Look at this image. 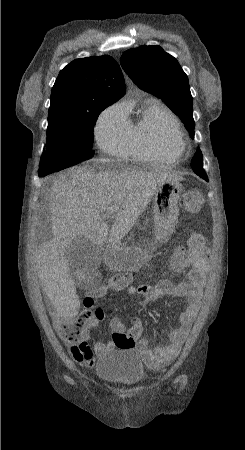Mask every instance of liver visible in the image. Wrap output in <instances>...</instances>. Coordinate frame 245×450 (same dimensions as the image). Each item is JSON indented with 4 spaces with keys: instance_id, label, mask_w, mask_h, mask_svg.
<instances>
[{
    "instance_id": "6515ba94",
    "label": "liver",
    "mask_w": 245,
    "mask_h": 450,
    "mask_svg": "<svg viewBox=\"0 0 245 450\" xmlns=\"http://www.w3.org/2000/svg\"><path fill=\"white\" fill-rule=\"evenodd\" d=\"M183 178L164 171L136 169L96 172L86 167L53 181L49 206L52 239L36 250V269L42 287L58 314L66 319L77 315L79 298L70 274L66 249L77 238L101 245L108 238L115 244L131 230L166 180ZM113 224L109 230L107 209Z\"/></svg>"
}]
</instances>
